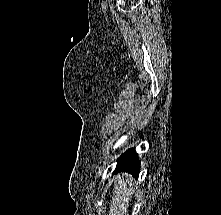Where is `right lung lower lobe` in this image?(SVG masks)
Masks as SVG:
<instances>
[{
	"label": "right lung lower lobe",
	"mask_w": 221,
	"mask_h": 215,
	"mask_svg": "<svg viewBox=\"0 0 221 215\" xmlns=\"http://www.w3.org/2000/svg\"><path fill=\"white\" fill-rule=\"evenodd\" d=\"M117 162L116 171H128L133 176L138 177L140 172V162L134 148H131L124 153Z\"/></svg>",
	"instance_id": "98d812e1"
}]
</instances>
